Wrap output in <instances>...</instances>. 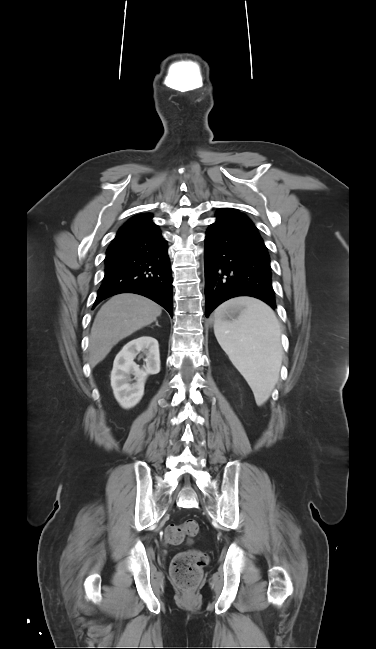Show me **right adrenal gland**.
<instances>
[{
  "label": "right adrenal gland",
  "instance_id": "obj_1",
  "mask_svg": "<svg viewBox=\"0 0 376 649\" xmlns=\"http://www.w3.org/2000/svg\"><path fill=\"white\" fill-rule=\"evenodd\" d=\"M156 326H159L158 322L156 321Z\"/></svg>",
  "mask_w": 376,
  "mask_h": 649
}]
</instances>
